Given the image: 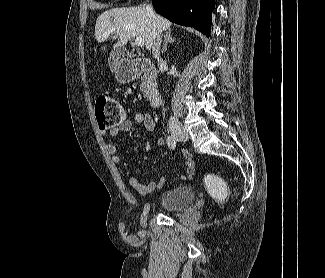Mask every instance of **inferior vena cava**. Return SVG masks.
Instances as JSON below:
<instances>
[{"instance_id":"inferior-vena-cava-1","label":"inferior vena cava","mask_w":325,"mask_h":278,"mask_svg":"<svg viewBox=\"0 0 325 278\" xmlns=\"http://www.w3.org/2000/svg\"><path fill=\"white\" fill-rule=\"evenodd\" d=\"M146 10L151 16H154L152 5L148 4L146 6ZM161 43H162V32L158 31L157 35L155 37L154 43H153V47H152V53H153L154 57L158 60V63L163 62V60L160 59V46H161ZM170 122L171 123H177L178 119L175 118V117H171Z\"/></svg>"}]
</instances>
